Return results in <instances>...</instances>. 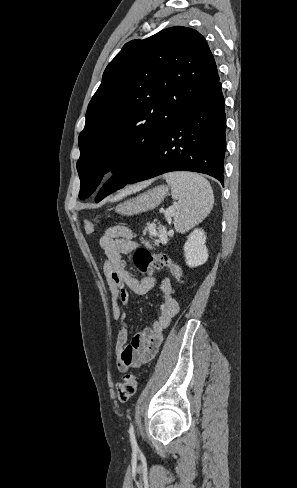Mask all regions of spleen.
<instances>
[{"instance_id": "obj_1", "label": "spleen", "mask_w": 297, "mask_h": 488, "mask_svg": "<svg viewBox=\"0 0 297 488\" xmlns=\"http://www.w3.org/2000/svg\"><path fill=\"white\" fill-rule=\"evenodd\" d=\"M171 186V195L179 201L174 215V225L184 233L200 223L212 210L214 196L209 182L202 176L187 172L164 175Z\"/></svg>"}]
</instances>
